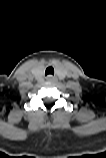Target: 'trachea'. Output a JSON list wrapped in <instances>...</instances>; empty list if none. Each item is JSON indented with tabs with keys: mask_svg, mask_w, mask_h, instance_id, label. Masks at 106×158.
Wrapping results in <instances>:
<instances>
[{
	"mask_svg": "<svg viewBox=\"0 0 106 158\" xmlns=\"http://www.w3.org/2000/svg\"><path fill=\"white\" fill-rule=\"evenodd\" d=\"M45 75H54V69L52 66L47 67Z\"/></svg>",
	"mask_w": 106,
	"mask_h": 158,
	"instance_id": "3493384b",
	"label": "trachea"
}]
</instances>
